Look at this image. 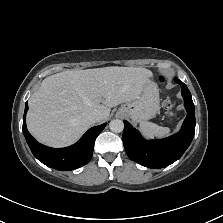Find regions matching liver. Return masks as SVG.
<instances>
[{
	"instance_id": "obj_1",
	"label": "liver",
	"mask_w": 223,
	"mask_h": 223,
	"mask_svg": "<svg viewBox=\"0 0 223 223\" xmlns=\"http://www.w3.org/2000/svg\"><path fill=\"white\" fill-rule=\"evenodd\" d=\"M152 74L146 68L113 66L48 76L29 99L27 129L45 146L69 147L94 125L91 111L107 119L112 107L134 100Z\"/></svg>"
}]
</instances>
